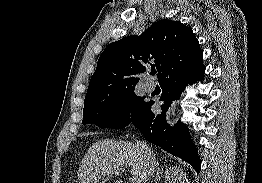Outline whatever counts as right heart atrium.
I'll return each instance as SVG.
<instances>
[{
    "label": "right heart atrium",
    "mask_w": 262,
    "mask_h": 183,
    "mask_svg": "<svg viewBox=\"0 0 262 183\" xmlns=\"http://www.w3.org/2000/svg\"><path fill=\"white\" fill-rule=\"evenodd\" d=\"M126 110L125 109H120V110H118V112H117V115L119 116V117H125L126 116Z\"/></svg>",
    "instance_id": "obj_1"
}]
</instances>
